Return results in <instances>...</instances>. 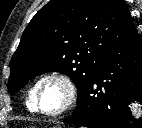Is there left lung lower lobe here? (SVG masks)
<instances>
[{
	"label": "left lung lower lobe",
	"instance_id": "0a47b994",
	"mask_svg": "<svg viewBox=\"0 0 142 128\" xmlns=\"http://www.w3.org/2000/svg\"><path fill=\"white\" fill-rule=\"evenodd\" d=\"M142 104V39L138 32L111 48L64 123L88 128H142L128 105Z\"/></svg>",
	"mask_w": 142,
	"mask_h": 128
}]
</instances>
